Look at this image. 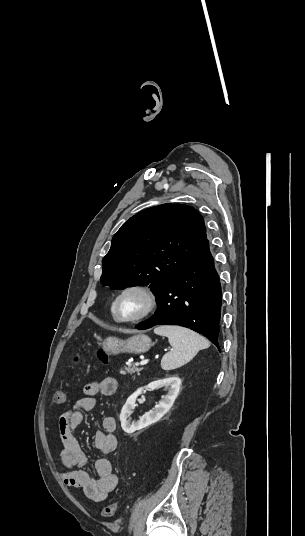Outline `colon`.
Masks as SVG:
<instances>
[{
  "instance_id": "5ec220e1",
  "label": "colon",
  "mask_w": 305,
  "mask_h": 536,
  "mask_svg": "<svg viewBox=\"0 0 305 536\" xmlns=\"http://www.w3.org/2000/svg\"><path fill=\"white\" fill-rule=\"evenodd\" d=\"M96 355L102 363H106L108 361V355L102 349H98L96 352ZM80 359H81V353L77 352L74 355L73 360L75 363H79ZM67 400H68V393L66 390H63V389L57 390L53 396V402L56 405H64L66 404ZM116 506H117L116 503H112V504L105 506L101 512V516L105 518L111 517L116 510Z\"/></svg>"
}]
</instances>
